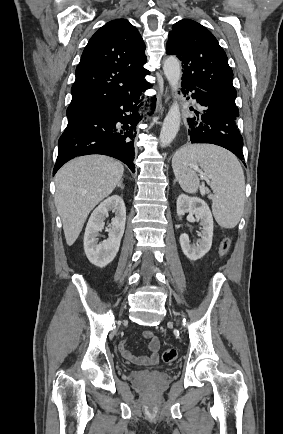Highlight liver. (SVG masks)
Segmentation results:
<instances>
[{
    "label": "liver",
    "instance_id": "obj_1",
    "mask_svg": "<svg viewBox=\"0 0 283 434\" xmlns=\"http://www.w3.org/2000/svg\"><path fill=\"white\" fill-rule=\"evenodd\" d=\"M123 173L120 162L104 155L77 157L57 172L55 205L67 245L74 244L91 210L113 192Z\"/></svg>",
    "mask_w": 283,
    "mask_h": 434
}]
</instances>
